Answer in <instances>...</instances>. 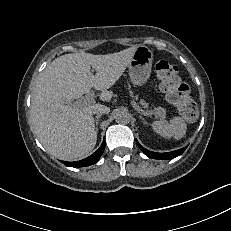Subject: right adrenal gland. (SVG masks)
<instances>
[{"instance_id":"right-adrenal-gland-1","label":"right adrenal gland","mask_w":231,"mask_h":231,"mask_svg":"<svg viewBox=\"0 0 231 231\" xmlns=\"http://www.w3.org/2000/svg\"><path fill=\"white\" fill-rule=\"evenodd\" d=\"M101 117V114H98L96 117H95V130H96V133H98V123H99V118Z\"/></svg>"}]
</instances>
